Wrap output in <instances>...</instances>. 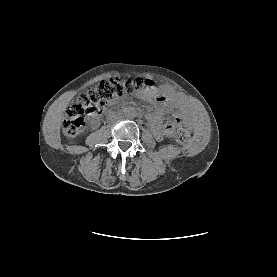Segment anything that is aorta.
<instances>
[{
    "label": "aorta",
    "mask_w": 277,
    "mask_h": 277,
    "mask_svg": "<svg viewBox=\"0 0 277 277\" xmlns=\"http://www.w3.org/2000/svg\"><path fill=\"white\" fill-rule=\"evenodd\" d=\"M124 113V116L127 118V119H134L137 115V112L135 110V108L133 107H127L124 109L123 111Z\"/></svg>",
    "instance_id": "obj_1"
}]
</instances>
